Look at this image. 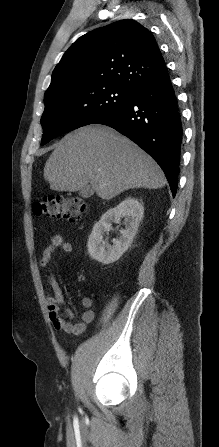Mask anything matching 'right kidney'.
Returning a JSON list of instances; mask_svg holds the SVG:
<instances>
[{"instance_id": "right-kidney-1", "label": "right kidney", "mask_w": 219, "mask_h": 447, "mask_svg": "<svg viewBox=\"0 0 219 447\" xmlns=\"http://www.w3.org/2000/svg\"><path fill=\"white\" fill-rule=\"evenodd\" d=\"M143 205L135 198L128 197L114 208L107 210L94 225L87 243L88 254L102 264L117 261L129 248L143 218ZM124 218L125 229L120 237L112 240V245L103 241L105 232L110 231L113 222Z\"/></svg>"}]
</instances>
